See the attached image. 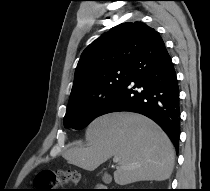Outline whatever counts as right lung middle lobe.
Wrapping results in <instances>:
<instances>
[{
	"label": "right lung middle lobe",
	"instance_id": "1",
	"mask_svg": "<svg viewBox=\"0 0 210 191\" xmlns=\"http://www.w3.org/2000/svg\"><path fill=\"white\" fill-rule=\"evenodd\" d=\"M129 77V66L101 72L84 90L70 97L64 127L82 129L99 116L100 110Z\"/></svg>",
	"mask_w": 210,
	"mask_h": 191
}]
</instances>
